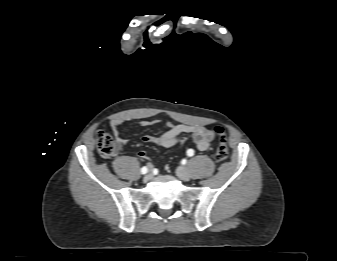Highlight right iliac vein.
<instances>
[{
  "label": "right iliac vein",
  "mask_w": 337,
  "mask_h": 261,
  "mask_svg": "<svg viewBox=\"0 0 337 261\" xmlns=\"http://www.w3.org/2000/svg\"><path fill=\"white\" fill-rule=\"evenodd\" d=\"M151 172H149L145 177H144V181L147 182L151 179Z\"/></svg>",
  "instance_id": "1"
}]
</instances>
